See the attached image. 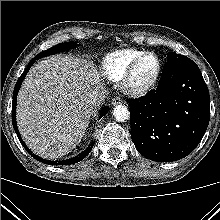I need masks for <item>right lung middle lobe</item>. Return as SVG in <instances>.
Returning a JSON list of instances; mask_svg holds the SVG:
<instances>
[{
    "instance_id": "obj_1",
    "label": "right lung middle lobe",
    "mask_w": 220,
    "mask_h": 220,
    "mask_svg": "<svg viewBox=\"0 0 220 220\" xmlns=\"http://www.w3.org/2000/svg\"><path fill=\"white\" fill-rule=\"evenodd\" d=\"M77 45L78 44L75 43V42L60 43V44H57V45H55V46L39 53L38 55H36L34 57V59H39V58H42V57H45V56H49V55L56 54V53H59V52H62V51H66V50L75 48Z\"/></svg>"
}]
</instances>
